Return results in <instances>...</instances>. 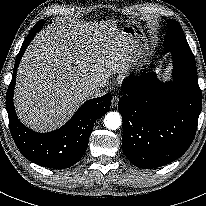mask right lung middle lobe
<instances>
[{
	"label": "right lung middle lobe",
	"mask_w": 206,
	"mask_h": 206,
	"mask_svg": "<svg viewBox=\"0 0 206 206\" xmlns=\"http://www.w3.org/2000/svg\"><path fill=\"white\" fill-rule=\"evenodd\" d=\"M43 24H44V21H43V20H40L36 25H38V26H43Z\"/></svg>",
	"instance_id": "right-lung-middle-lobe-1"
}]
</instances>
